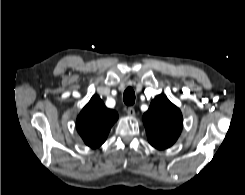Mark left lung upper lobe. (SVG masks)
Wrapping results in <instances>:
<instances>
[{
  "label": "left lung upper lobe",
  "mask_w": 245,
  "mask_h": 195,
  "mask_svg": "<svg viewBox=\"0 0 245 195\" xmlns=\"http://www.w3.org/2000/svg\"><path fill=\"white\" fill-rule=\"evenodd\" d=\"M143 122L148 141L157 149L172 146L183 127L181 111L163 94L152 100Z\"/></svg>",
  "instance_id": "1"
}]
</instances>
